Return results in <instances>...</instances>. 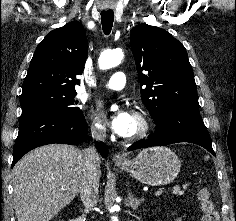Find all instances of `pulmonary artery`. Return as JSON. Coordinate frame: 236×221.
<instances>
[{
  "label": "pulmonary artery",
  "instance_id": "pulmonary-artery-1",
  "mask_svg": "<svg viewBox=\"0 0 236 221\" xmlns=\"http://www.w3.org/2000/svg\"><path fill=\"white\" fill-rule=\"evenodd\" d=\"M126 75L122 71L115 72L112 76L104 82L103 88L108 90H122L125 87Z\"/></svg>",
  "mask_w": 236,
  "mask_h": 221
}]
</instances>
